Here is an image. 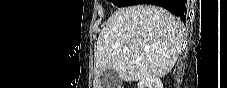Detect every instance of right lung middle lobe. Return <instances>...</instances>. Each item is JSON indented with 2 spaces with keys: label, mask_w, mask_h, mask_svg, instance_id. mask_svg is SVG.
Returning a JSON list of instances; mask_svg holds the SVG:
<instances>
[{
  "label": "right lung middle lobe",
  "mask_w": 227,
  "mask_h": 88,
  "mask_svg": "<svg viewBox=\"0 0 227 88\" xmlns=\"http://www.w3.org/2000/svg\"><path fill=\"white\" fill-rule=\"evenodd\" d=\"M111 1L114 5L121 7L125 5H133L139 3L140 0H107Z\"/></svg>",
  "instance_id": "obj_1"
}]
</instances>
